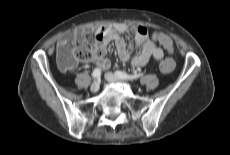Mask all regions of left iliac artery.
Listing matches in <instances>:
<instances>
[{
    "label": "left iliac artery",
    "mask_w": 230,
    "mask_h": 155,
    "mask_svg": "<svg viewBox=\"0 0 230 155\" xmlns=\"http://www.w3.org/2000/svg\"><path fill=\"white\" fill-rule=\"evenodd\" d=\"M115 75L121 79H124V80H136L139 77H141L143 74L142 73H138V74L136 73L133 75H129V74L122 72V71H116Z\"/></svg>",
    "instance_id": "1"
}]
</instances>
